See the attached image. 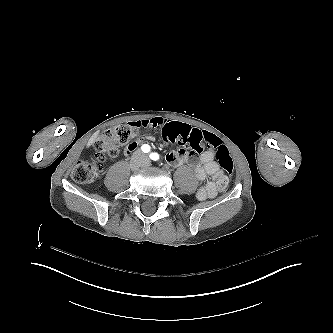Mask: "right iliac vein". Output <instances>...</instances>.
<instances>
[{
    "mask_svg": "<svg viewBox=\"0 0 333 333\" xmlns=\"http://www.w3.org/2000/svg\"><path fill=\"white\" fill-rule=\"evenodd\" d=\"M138 167V165H134V168H137Z\"/></svg>",
    "mask_w": 333,
    "mask_h": 333,
    "instance_id": "obj_1",
    "label": "right iliac vein"
}]
</instances>
